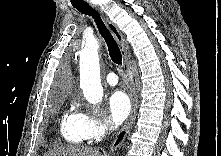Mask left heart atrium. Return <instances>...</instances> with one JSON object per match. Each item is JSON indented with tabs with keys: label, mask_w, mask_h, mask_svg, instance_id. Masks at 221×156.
<instances>
[{
	"label": "left heart atrium",
	"mask_w": 221,
	"mask_h": 156,
	"mask_svg": "<svg viewBox=\"0 0 221 156\" xmlns=\"http://www.w3.org/2000/svg\"><path fill=\"white\" fill-rule=\"evenodd\" d=\"M131 111V102L123 91H115L109 98V112L115 125L122 124Z\"/></svg>",
	"instance_id": "left-heart-atrium-1"
}]
</instances>
